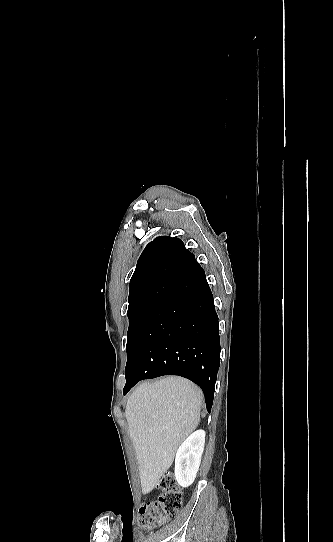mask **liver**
<instances>
[{
	"label": "liver",
	"instance_id": "liver-1",
	"mask_svg": "<svg viewBox=\"0 0 333 542\" xmlns=\"http://www.w3.org/2000/svg\"><path fill=\"white\" fill-rule=\"evenodd\" d=\"M202 396L200 388L180 376H167L155 384L143 382L132 392L125 416L142 494L156 488L180 444L196 430Z\"/></svg>",
	"mask_w": 333,
	"mask_h": 542
}]
</instances>
